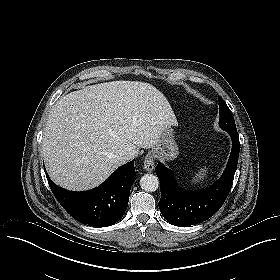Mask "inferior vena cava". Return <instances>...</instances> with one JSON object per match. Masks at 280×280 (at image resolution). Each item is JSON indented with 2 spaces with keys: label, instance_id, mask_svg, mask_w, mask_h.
Listing matches in <instances>:
<instances>
[{
  "label": "inferior vena cava",
  "instance_id": "1",
  "mask_svg": "<svg viewBox=\"0 0 280 280\" xmlns=\"http://www.w3.org/2000/svg\"><path fill=\"white\" fill-rule=\"evenodd\" d=\"M136 156V153L133 152V151H128V152H125L122 156L123 160L126 162V161H130L132 159H134Z\"/></svg>",
  "mask_w": 280,
  "mask_h": 280
}]
</instances>
